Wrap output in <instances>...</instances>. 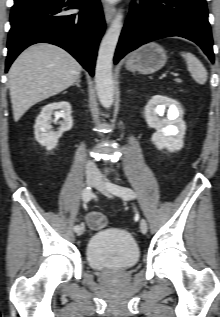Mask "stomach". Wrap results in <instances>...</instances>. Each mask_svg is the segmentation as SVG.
Returning <instances> with one entry per match:
<instances>
[{
	"mask_svg": "<svg viewBox=\"0 0 220 317\" xmlns=\"http://www.w3.org/2000/svg\"><path fill=\"white\" fill-rule=\"evenodd\" d=\"M167 61L166 51L155 42H149L135 50L126 61V68L132 72L152 74L161 69Z\"/></svg>",
	"mask_w": 220,
	"mask_h": 317,
	"instance_id": "0dacf381",
	"label": "stomach"
}]
</instances>
